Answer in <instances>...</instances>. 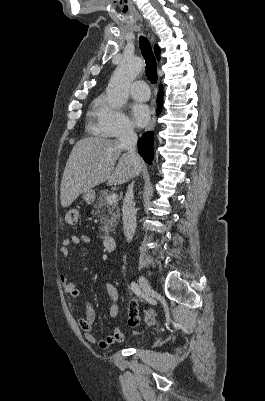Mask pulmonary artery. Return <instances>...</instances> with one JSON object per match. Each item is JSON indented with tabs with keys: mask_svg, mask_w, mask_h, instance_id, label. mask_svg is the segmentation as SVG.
<instances>
[{
	"mask_svg": "<svg viewBox=\"0 0 265 401\" xmlns=\"http://www.w3.org/2000/svg\"><path fill=\"white\" fill-rule=\"evenodd\" d=\"M135 77L133 80L135 91H131V96L137 101H147L150 97L148 92L149 83L144 78H140L139 70L136 72Z\"/></svg>",
	"mask_w": 265,
	"mask_h": 401,
	"instance_id": "e3ab8cb5",
	"label": "pulmonary artery"
}]
</instances>
